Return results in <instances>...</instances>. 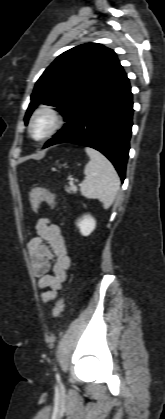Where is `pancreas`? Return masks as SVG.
I'll return each instance as SVG.
<instances>
[{
    "label": "pancreas",
    "instance_id": "obj_1",
    "mask_svg": "<svg viewBox=\"0 0 165 419\" xmlns=\"http://www.w3.org/2000/svg\"><path fill=\"white\" fill-rule=\"evenodd\" d=\"M65 190H66L68 193H71V192L76 193V192H77V187H76V186H74V185H70L69 187H67V186H66Z\"/></svg>",
    "mask_w": 165,
    "mask_h": 419
}]
</instances>
